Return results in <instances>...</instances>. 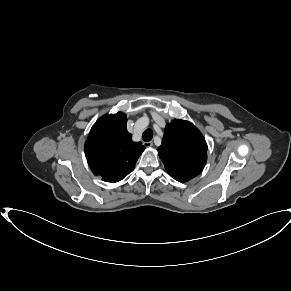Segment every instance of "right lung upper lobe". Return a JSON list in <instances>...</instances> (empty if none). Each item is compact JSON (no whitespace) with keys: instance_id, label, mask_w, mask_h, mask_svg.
<instances>
[{"instance_id":"right-lung-upper-lobe-1","label":"right lung upper lobe","mask_w":291,"mask_h":291,"mask_svg":"<svg viewBox=\"0 0 291 291\" xmlns=\"http://www.w3.org/2000/svg\"><path fill=\"white\" fill-rule=\"evenodd\" d=\"M123 113L100 118L85 143V155L92 172L103 181L118 182L134 170L145 147L134 143Z\"/></svg>"}]
</instances>
